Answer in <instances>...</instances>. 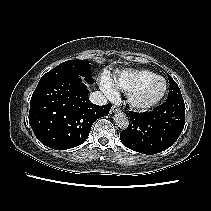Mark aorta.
<instances>
[{
	"instance_id": "aorta-1",
	"label": "aorta",
	"mask_w": 211,
	"mask_h": 211,
	"mask_svg": "<svg viewBox=\"0 0 211 211\" xmlns=\"http://www.w3.org/2000/svg\"><path fill=\"white\" fill-rule=\"evenodd\" d=\"M114 122L116 123V125L119 128H122V129L127 128L128 125H129V119H128V117L124 113H122V112L116 113L114 115Z\"/></svg>"
}]
</instances>
